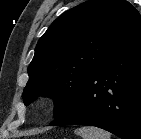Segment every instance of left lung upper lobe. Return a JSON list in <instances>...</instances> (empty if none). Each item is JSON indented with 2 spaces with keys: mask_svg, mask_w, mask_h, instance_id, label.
<instances>
[{
  "mask_svg": "<svg viewBox=\"0 0 141 139\" xmlns=\"http://www.w3.org/2000/svg\"><path fill=\"white\" fill-rule=\"evenodd\" d=\"M141 31V15L126 0H88L58 17L40 38L22 97H53L57 118L87 76Z\"/></svg>",
  "mask_w": 141,
  "mask_h": 139,
  "instance_id": "1",
  "label": "left lung upper lobe"
}]
</instances>
